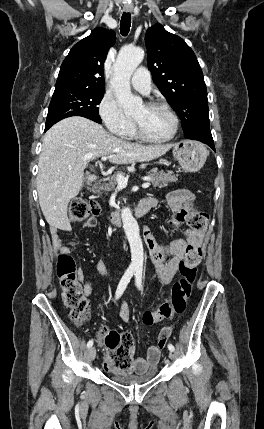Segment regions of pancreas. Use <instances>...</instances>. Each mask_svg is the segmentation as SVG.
Here are the masks:
<instances>
[{"mask_svg":"<svg viewBox=\"0 0 264 429\" xmlns=\"http://www.w3.org/2000/svg\"><path fill=\"white\" fill-rule=\"evenodd\" d=\"M117 175H124V173L123 172H117L116 175L106 177V178L99 180L98 182H96L93 185L91 190L94 193H102V192L108 193V192L113 191L115 189L116 184H117V180H116ZM148 176L150 177L149 181L152 182L154 188L165 187L168 185L169 182H176V180H177V175L175 176L172 171H168V172L151 171V172H148Z\"/></svg>","mask_w":264,"mask_h":429,"instance_id":"pancreas-1","label":"pancreas"}]
</instances>
